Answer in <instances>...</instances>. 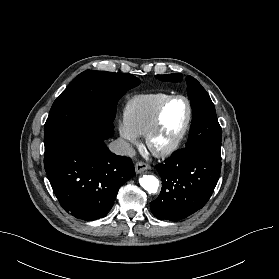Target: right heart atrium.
<instances>
[{"label":"right heart atrium","instance_id":"obj_1","mask_svg":"<svg viewBox=\"0 0 279 279\" xmlns=\"http://www.w3.org/2000/svg\"><path fill=\"white\" fill-rule=\"evenodd\" d=\"M119 134L122 138L126 151H130L132 146L139 141V135L131 129V127L124 121L119 125Z\"/></svg>","mask_w":279,"mask_h":279}]
</instances>
